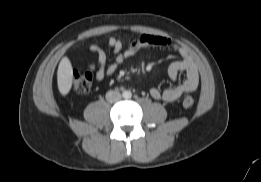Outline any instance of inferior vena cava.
Here are the masks:
<instances>
[{
	"mask_svg": "<svg viewBox=\"0 0 261 182\" xmlns=\"http://www.w3.org/2000/svg\"><path fill=\"white\" fill-rule=\"evenodd\" d=\"M121 98H122V95L117 91L111 90L106 93V100L110 103H116V102L120 101Z\"/></svg>",
	"mask_w": 261,
	"mask_h": 182,
	"instance_id": "inferior-vena-cava-1",
	"label": "inferior vena cava"
}]
</instances>
